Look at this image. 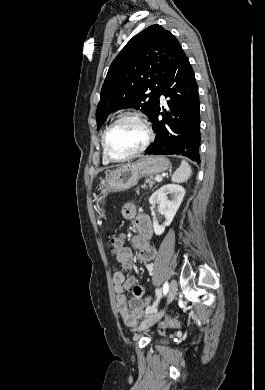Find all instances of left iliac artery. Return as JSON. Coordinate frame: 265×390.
<instances>
[{
  "instance_id": "44dca946",
  "label": "left iliac artery",
  "mask_w": 265,
  "mask_h": 390,
  "mask_svg": "<svg viewBox=\"0 0 265 390\" xmlns=\"http://www.w3.org/2000/svg\"><path fill=\"white\" fill-rule=\"evenodd\" d=\"M168 290H169V284H168V282H165L164 283V285H163V294L164 295H166L167 294V292H168ZM161 289H159L158 291H157V296L158 297H161Z\"/></svg>"
}]
</instances>
